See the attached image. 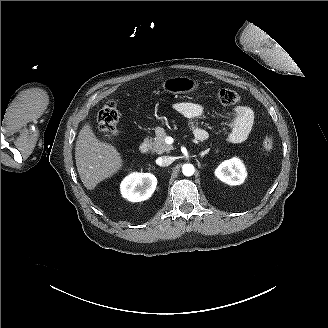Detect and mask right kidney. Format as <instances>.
<instances>
[{
    "label": "right kidney",
    "instance_id": "1",
    "mask_svg": "<svg viewBox=\"0 0 328 328\" xmlns=\"http://www.w3.org/2000/svg\"><path fill=\"white\" fill-rule=\"evenodd\" d=\"M157 178L151 173H134L121 184L122 195L131 202L149 199L156 189Z\"/></svg>",
    "mask_w": 328,
    "mask_h": 328
}]
</instances>
